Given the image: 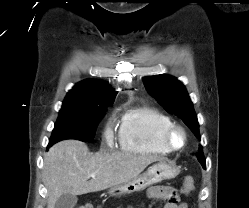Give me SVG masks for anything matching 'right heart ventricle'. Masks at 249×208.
Here are the masks:
<instances>
[{"label": "right heart ventricle", "instance_id": "1", "mask_svg": "<svg viewBox=\"0 0 249 208\" xmlns=\"http://www.w3.org/2000/svg\"><path fill=\"white\" fill-rule=\"evenodd\" d=\"M172 119L158 109L138 106L127 110L121 120L119 141L123 150L136 154H168L162 142L163 131Z\"/></svg>", "mask_w": 249, "mask_h": 208}]
</instances>
